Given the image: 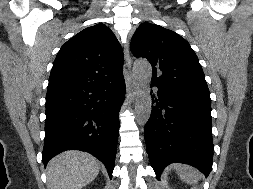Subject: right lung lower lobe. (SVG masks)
Instances as JSON below:
<instances>
[{
  "label": "right lung lower lobe",
  "mask_w": 253,
  "mask_h": 189,
  "mask_svg": "<svg viewBox=\"0 0 253 189\" xmlns=\"http://www.w3.org/2000/svg\"><path fill=\"white\" fill-rule=\"evenodd\" d=\"M124 95L123 75L100 84L48 90L44 165L64 150L79 149L102 161L111 178Z\"/></svg>",
  "instance_id": "98d812e1"
}]
</instances>
